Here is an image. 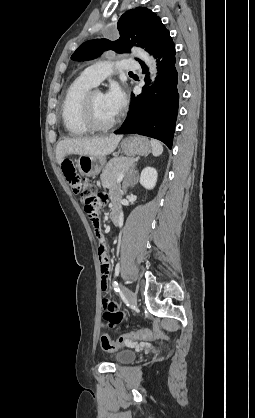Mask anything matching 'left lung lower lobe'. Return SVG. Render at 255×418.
<instances>
[{"mask_svg": "<svg viewBox=\"0 0 255 418\" xmlns=\"http://www.w3.org/2000/svg\"><path fill=\"white\" fill-rule=\"evenodd\" d=\"M175 45L170 38L154 55L158 75L151 87H143L138 96L131 95L130 111L122 127L115 134H140L156 138L172 147L179 103V73ZM148 81V68L140 63Z\"/></svg>", "mask_w": 255, "mask_h": 418, "instance_id": "0a47b994", "label": "left lung lower lobe"}]
</instances>
